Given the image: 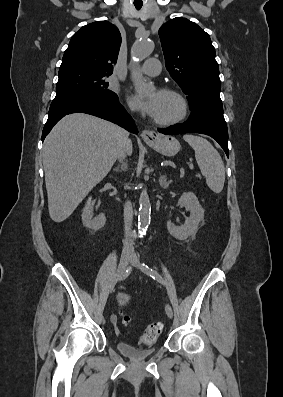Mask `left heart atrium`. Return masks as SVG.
Wrapping results in <instances>:
<instances>
[{
  "instance_id": "obj_1",
  "label": "left heart atrium",
  "mask_w": 283,
  "mask_h": 397,
  "mask_svg": "<svg viewBox=\"0 0 283 397\" xmlns=\"http://www.w3.org/2000/svg\"><path fill=\"white\" fill-rule=\"evenodd\" d=\"M130 101L133 106L140 110L141 112L154 117L157 111V99L156 97H151L149 99H144L139 93L135 92L131 94Z\"/></svg>"
}]
</instances>
